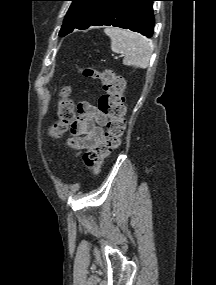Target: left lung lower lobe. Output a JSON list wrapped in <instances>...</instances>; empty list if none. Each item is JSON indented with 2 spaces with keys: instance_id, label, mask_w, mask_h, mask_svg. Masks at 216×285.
Wrapping results in <instances>:
<instances>
[{
  "instance_id": "1",
  "label": "left lung lower lobe",
  "mask_w": 216,
  "mask_h": 285,
  "mask_svg": "<svg viewBox=\"0 0 216 285\" xmlns=\"http://www.w3.org/2000/svg\"><path fill=\"white\" fill-rule=\"evenodd\" d=\"M153 1L157 0H113L89 27L112 25L139 32L150 38L155 24Z\"/></svg>"
}]
</instances>
